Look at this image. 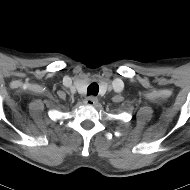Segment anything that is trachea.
<instances>
[{
  "instance_id": "1",
  "label": "trachea",
  "mask_w": 190,
  "mask_h": 190,
  "mask_svg": "<svg viewBox=\"0 0 190 190\" xmlns=\"http://www.w3.org/2000/svg\"><path fill=\"white\" fill-rule=\"evenodd\" d=\"M99 92V86L97 83H91L87 88V94L96 96Z\"/></svg>"
}]
</instances>
